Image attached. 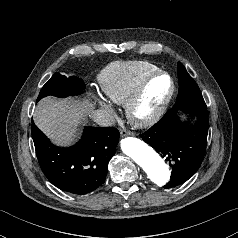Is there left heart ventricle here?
<instances>
[{"instance_id":"1","label":"left heart ventricle","mask_w":238,"mask_h":238,"mask_svg":"<svg viewBox=\"0 0 238 238\" xmlns=\"http://www.w3.org/2000/svg\"><path fill=\"white\" fill-rule=\"evenodd\" d=\"M169 89L170 83L166 77L153 80L136 109V115L141 118L152 115L163 103Z\"/></svg>"}]
</instances>
